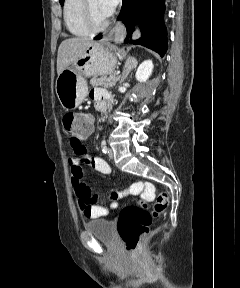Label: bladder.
<instances>
[{"label":"bladder","mask_w":240,"mask_h":288,"mask_svg":"<svg viewBox=\"0 0 240 288\" xmlns=\"http://www.w3.org/2000/svg\"><path fill=\"white\" fill-rule=\"evenodd\" d=\"M87 232L106 243L115 242V225L111 220L97 219L84 225Z\"/></svg>","instance_id":"31cf9c89"}]
</instances>
